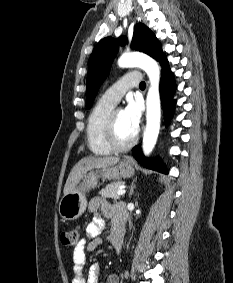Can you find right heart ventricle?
Returning <instances> with one entry per match:
<instances>
[{"mask_svg":"<svg viewBox=\"0 0 233 283\" xmlns=\"http://www.w3.org/2000/svg\"><path fill=\"white\" fill-rule=\"evenodd\" d=\"M114 105L100 99L91 110L86 127L87 146L98 156L109 155L112 150L104 138L105 126Z\"/></svg>","mask_w":233,"mask_h":283,"instance_id":"right-heart-ventricle-1","label":"right heart ventricle"}]
</instances>
